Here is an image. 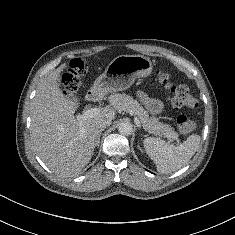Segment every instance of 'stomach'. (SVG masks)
Instances as JSON below:
<instances>
[{
    "instance_id": "0dacf381",
    "label": "stomach",
    "mask_w": 235,
    "mask_h": 235,
    "mask_svg": "<svg viewBox=\"0 0 235 235\" xmlns=\"http://www.w3.org/2000/svg\"><path fill=\"white\" fill-rule=\"evenodd\" d=\"M152 62L142 55H120L114 58L104 73L94 82L91 93L99 96L129 88L137 78L152 72Z\"/></svg>"
}]
</instances>
